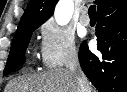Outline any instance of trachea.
<instances>
[{"mask_svg":"<svg viewBox=\"0 0 127 92\" xmlns=\"http://www.w3.org/2000/svg\"><path fill=\"white\" fill-rule=\"evenodd\" d=\"M96 5H91L90 7H89V16H95L96 17Z\"/></svg>","mask_w":127,"mask_h":92,"instance_id":"obj_1","label":"trachea"}]
</instances>
